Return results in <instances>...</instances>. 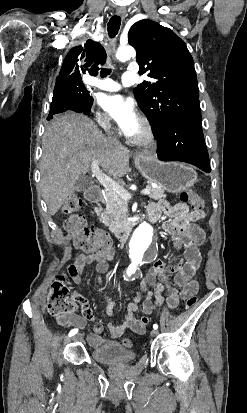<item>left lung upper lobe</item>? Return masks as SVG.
<instances>
[{
	"label": "left lung upper lobe",
	"instance_id": "1",
	"mask_svg": "<svg viewBox=\"0 0 247 413\" xmlns=\"http://www.w3.org/2000/svg\"><path fill=\"white\" fill-rule=\"evenodd\" d=\"M128 41L137 51L139 73L152 78L139 84L134 94L153 132L175 120L201 124L194 61L185 42L171 29L147 19L131 27Z\"/></svg>",
	"mask_w": 247,
	"mask_h": 413
}]
</instances>
